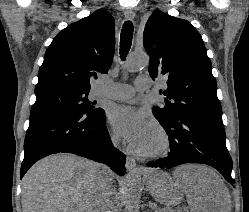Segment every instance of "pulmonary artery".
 Returning <instances> with one entry per match:
<instances>
[{"label": "pulmonary artery", "mask_w": 249, "mask_h": 212, "mask_svg": "<svg viewBox=\"0 0 249 212\" xmlns=\"http://www.w3.org/2000/svg\"><path fill=\"white\" fill-rule=\"evenodd\" d=\"M148 76L139 75L136 77L134 86L129 84L117 83L105 75L98 78L99 85L92 91L93 97L110 98L115 100H126L135 95L136 92H144L152 86L147 82Z\"/></svg>", "instance_id": "obj_1"}]
</instances>
